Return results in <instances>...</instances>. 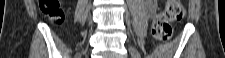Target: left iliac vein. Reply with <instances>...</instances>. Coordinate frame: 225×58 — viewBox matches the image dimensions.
<instances>
[{"label": "left iliac vein", "instance_id": "left-iliac-vein-1", "mask_svg": "<svg viewBox=\"0 0 225 58\" xmlns=\"http://www.w3.org/2000/svg\"><path fill=\"white\" fill-rule=\"evenodd\" d=\"M129 52H130V54H131V56L133 58H140V54H139L138 50L135 47L130 46L129 47Z\"/></svg>", "mask_w": 225, "mask_h": 58}]
</instances>
